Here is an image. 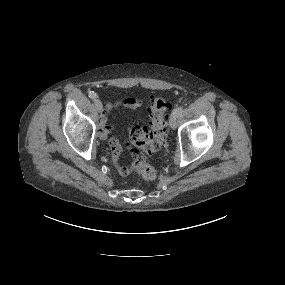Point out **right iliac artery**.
I'll use <instances>...</instances> for the list:
<instances>
[{
    "label": "right iliac artery",
    "instance_id": "obj_1",
    "mask_svg": "<svg viewBox=\"0 0 285 285\" xmlns=\"http://www.w3.org/2000/svg\"><path fill=\"white\" fill-rule=\"evenodd\" d=\"M89 97L93 100L97 98V94L94 91L89 92Z\"/></svg>",
    "mask_w": 285,
    "mask_h": 285
}]
</instances>
